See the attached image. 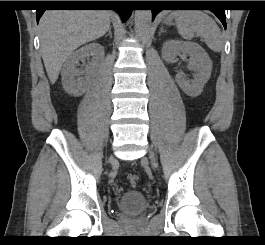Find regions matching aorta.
I'll use <instances>...</instances> for the list:
<instances>
[{"instance_id":"762f6f07","label":"aorta","mask_w":265,"mask_h":245,"mask_svg":"<svg viewBox=\"0 0 265 245\" xmlns=\"http://www.w3.org/2000/svg\"><path fill=\"white\" fill-rule=\"evenodd\" d=\"M151 19V10H135V27L139 35L146 34L151 24Z\"/></svg>"}]
</instances>
